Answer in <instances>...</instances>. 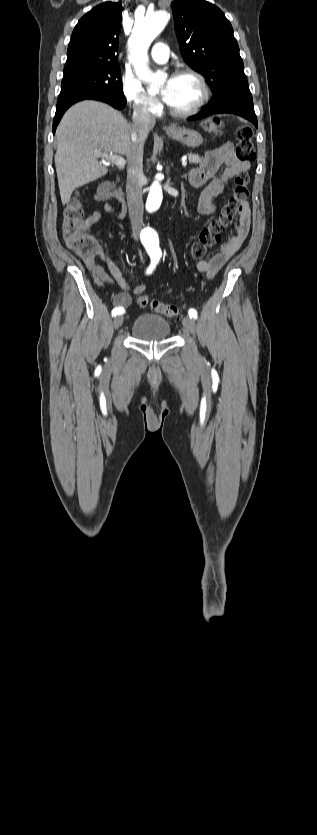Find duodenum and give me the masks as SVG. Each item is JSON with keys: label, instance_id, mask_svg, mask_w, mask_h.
<instances>
[{"label": "duodenum", "instance_id": "obj_1", "mask_svg": "<svg viewBox=\"0 0 317 835\" xmlns=\"http://www.w3.org/2000/svg\"><path fill=\"white\" fill-rule=\"evenodd\" d=\"M105 189L109 197L117 198L119 201H124V194L120 188H117L113 183H105Z\"/></svg>", "mask_w": 317, "mask_h": 835}]
</instances>
